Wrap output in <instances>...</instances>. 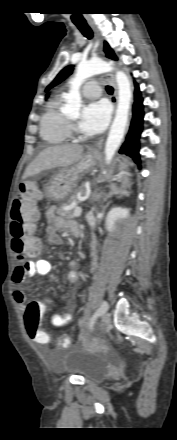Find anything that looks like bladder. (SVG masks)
<instances>
[{"instance_id":"bladder-1","label":"bladder","mask_w":177,"mask_h":440,"mask_svg":"<svg viewBox=\"0 0 177 440\" xmlns=\"http://www.w3.org/2000/svg\"><path fill=\"white\" fill-rule=\"evenodd\" d=\"M61 366L86 381H100L106 371V358L101 352H89L66 346L62 348Z\"/></svg>"}]
</instances>
